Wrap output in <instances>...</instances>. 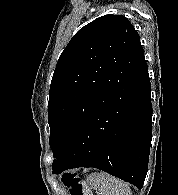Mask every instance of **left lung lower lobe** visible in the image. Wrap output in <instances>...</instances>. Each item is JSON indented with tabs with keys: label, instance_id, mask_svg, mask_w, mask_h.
I'll list each match as a JSON object with an SVG mask.
<instances>
[{
	"label": "left lung lower lobe",
	"instance_id": "left-lung-lower-lobe-1",
	"mask_svg": "<svg viewBox=\"0 0 178 195\" xmlns=\"http://www.w3.org/2000/svg\"><path fill=\"white\" fill-rule=\"evenodd\" d=\"M152 138L151 85L146 62L85 123L53 173L95 167L141 189Z\"/></svg>",
	"mask_w": 178,
	"mask_h": 195
}]
</instances>
